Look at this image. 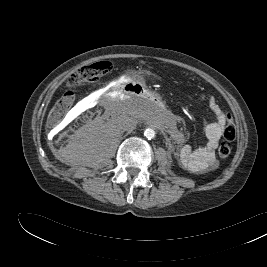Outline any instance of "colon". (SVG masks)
<instances>
[{
  "label": "colon",
  "mask_w": 267,
  "mask_h": 267,
  "mask_svg": "<svg viewBox=\"0 0 267 267\" xmlns=\"http://www.w3.org/2000/svg\"><path fill=\"white\" fill-rule=\"evenodd\" d=\"M111 64L107 61L96 62L91 65L82 66L77 69L68 78V87L74 88L84 83L94 82L100 79L105 73L110 70ZM74 102V94L71 89L66 91L61 98L56 102L55 106L51 110L48 122L51 125L59 123L68 110L71 108ZM223 136L226 141H232L235 139L236 130L231 121L225 126ZM231 153V148L227 142H222L218 148V155L221 158H227Z\"/></svg>",
  "instance_id": "1"
}]
</instances>
